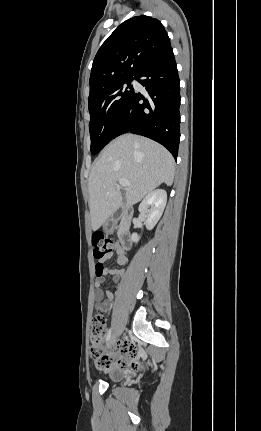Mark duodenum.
<instances>
[{"label": "duodenum", "mask_w": 261, "mask_h": 431, "mask_svg": "<svg viewBox=\"0 0 261 431\" xmlns=\"http://www.w3.org/2000/svg\"><path fill=\"white\" fill-rule=\"evenodd\" d=\"M121 223L119 226V242L123 250H128L131 247V235H130V222H131V211L123 207L121 209ZM115 219L111 218L107 221L106 225L108 228L113 227Z\"/></svg>", "instance_id": "1"}]
</instances>
